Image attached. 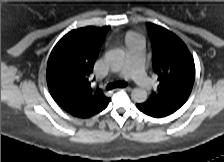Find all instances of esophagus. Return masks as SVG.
Instances as JSON below:
<instances>
[{
    "label": "esophagus",
    "instance_id": "1",
    "mask_svg": "<svg viewBox=\"0 0 224 162\" xmlns=\"http://www.w3.org/2000/svg\"><path fill=\"white\" fill-rule=\"evenodd\" d=\"M124 90L131 91L132 89H131V87H125Z\"/></svg>",
    "mask_w": 224,
    "mask_h": 162
}]
</instances>
